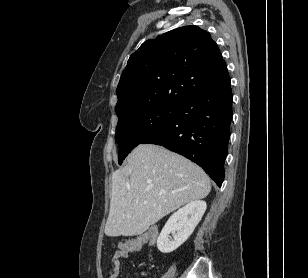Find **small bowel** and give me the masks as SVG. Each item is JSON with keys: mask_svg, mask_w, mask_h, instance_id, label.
<instances>
[{"mask_svg": "<svg viewBox=\"0 0 308 278\" xmlns=\"http://www.w3.org/2000/svg\"><path fill=\"white\" fill-rule=\"evenodd\" d=\"M143 246V245H142ZM142 248V247H140ZM130 253H128L127 250H120L118 249L113 257H112V262L113 265L109 271L108 278H118L120 274V267H121V259H126L128 258ZM143 276H145V273H143Z\"/></svg>", "mask_w": 308, "mask_h": 278, "instance_id": "small-bowel-1", "label": "small bowel"}]
</instances>
